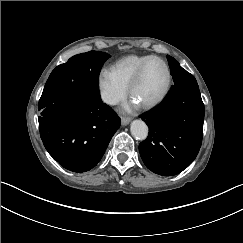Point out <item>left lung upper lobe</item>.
Masks as SVG:
<instances>
[{
  "label": "left lung upper lobe",
  "instance_id": "obj_1",
  "mask_svg": "<svg viewBox=\"0 0 243 243\" xmlns=\"http://www.w3.org/2000/svg\"><path fill=\"white\" fill-rule=\"evenodd\" d=\"M170 71L174 80L171 90L177 87L192 86L198 87L197 81L192 74L183 69L178 61L167 55Z\"/></svg>",
  "mask_w": 243,
  "mask_h": 243
}]
</instances>
